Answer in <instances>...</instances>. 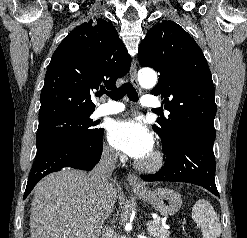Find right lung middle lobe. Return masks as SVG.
<instances>
[{"label":"right lung middle lobe","mask_w":247,"mask_h":238,"mask_svg":"<svg viewBox=\"0 0 247 238\" xmlns=\"http://www.w3.org/2000/svg\"><path fill=\"white\" fill-rule=\"evenodd\" d=\"M91 114L64 115L39 122L36 138L37 153L65 142L82 144L93 142L103 129L94 128L98 123L90 118Z\"/></svg>","instance_id":"obj_1"}]
</instances>
